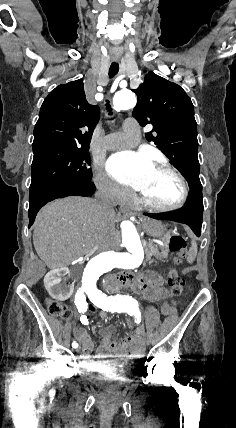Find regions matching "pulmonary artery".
Listing matches in <instances>:
<instances>
[{
    "label": "pulmonary artery",
    "mask_w": 236,
    "mask_h": 428,
    "mask_svg": "<svg viewBox=\"0 0 236 428\" xmlns=\"http://www.w3.org/2000/svg\"><path fill=\"white\" fill-rule=\"evenodd\" d=\"M122 135H124V132H117L115 134H112L113 137L122 136ZM135 144H136V142H127L126 144L108 142L106 147L108 149H121V148H128V147L134 146Z\"/></svg>",
    "instance_id": "1"
}]
</instances>
